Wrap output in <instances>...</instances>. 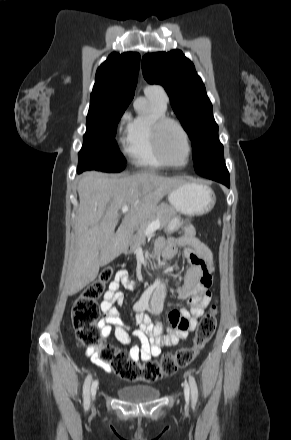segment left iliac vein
<instances>
[{
    "label": "left iliac vein",
    "instance_id": "1",
    "mask_svg": "<svg viewBox=\"0 0 291 440\" xmlns=\"http://www.w3.org/2000/svg\"><path fill=\"white\" fill-rule=\"evenodd\" d=\"M189 394H190L189 386L185 385V387H184V395H185L186 401H188V399H189Z\"/></svg>",
    "mask_w": 291,
    "mask_h": 440
}]
</instances>
